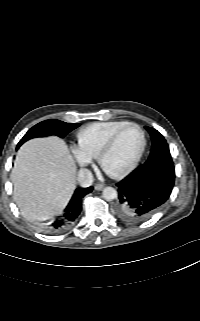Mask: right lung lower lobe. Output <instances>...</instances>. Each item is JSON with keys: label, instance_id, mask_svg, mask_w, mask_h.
I'll return each instance as SVG.
<instances>
[{"label": "right lung lower lobe", "instance_id": "1", "mask_svg": "<svg viewBox=\"0 0 200 321\" xmlns=\"http://www.w3.org/2000/svg\"><path fill=\"white\" fill-rule=\"evenodd\" d=\"M92 190V186L88 188H77L67 205L64 214L49 226V231L58 233L68 229L81 212L82 198Z\"/></svg>", "mask_w": 200, "mask_h": 321}]
</instances>
